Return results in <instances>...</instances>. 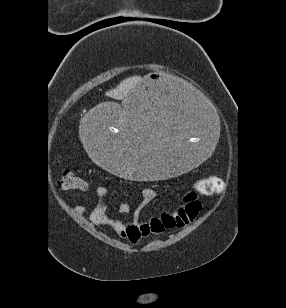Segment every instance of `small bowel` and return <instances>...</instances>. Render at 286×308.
<instances>
[{
  "mask_svg": "<svg viewBox=\"0 0 286 308\" xmlns=\"http://www.w3.org/2000/svg\"><path fill=\"white\" fill-rule=\"evenodd\" d=\"M99 198L98 205L89 214V221L93 225H104L132 244L139 243L142 239L150 236L159 235L166 230L183 228L192 222L202 209V202L199 199L198 191L189 190L184 194L183 204L171 213H162L159 216L150 217L144 221L140 217V212L149 202L156 197V191L152 188H143L140 190L139 200L136 205L134 215L131 221L122 220L107 215L104 207V198L107 190L104 187L96 189ZM77 214H84L87 208L83 205H76L73 208ZM120 213H128L130 207L127 203L118 205Z\"/></svg>",
  "mask_w": 286,
  "mask_h": 308,
  "instance_id": "small-bowel-1",
  "label": "small bowel"
}]
</instances>
